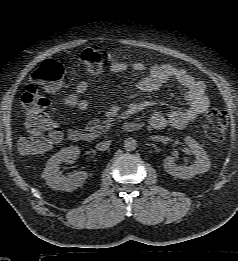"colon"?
Instances as JSON below:
<instances>
[{"label": "colon", "instance_id": "obj_1", "mask_svg": "<svg viewBox=\"0 0 238 261\" xmlns=\"http://www.w3.org/2000/svg\"><path fill=\"white\" fill-rule=\"evenodd\" d=\"M89 70L97 72L110 61V53L102 47H90L81 55ZM64 76V66L55 59L44 61L31 75V84L22 95L25 124L28 134L18 140V148L25 154L42 153L49 150L62 136L61 129L50 117L49 99L39 88L55 90ZM228 114L219 107H211L202 119L203 129L212 141H221L228 126Z\"/></svg>", "mask_w": 238, "mask_h": 261}]
</instances>
